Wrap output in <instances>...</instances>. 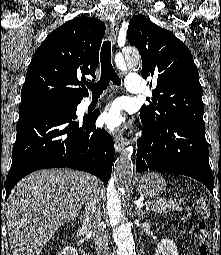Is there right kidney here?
<instances>
[{"label": "right kidney", "mask_w": 221, "mask_h": 255, "mask_svg": "<svg viewBox=\"0 0 221 255\" xmlns=\"http://www.w3.org/2000/svg\"><path fill=\"white\" fill-rule=\"evenodd\" d=\"M58 255H78V252L75 248L71 247V246H67L65 248H63Z\"/></svg>", "instance_id": "right-kidney-1"}]
</instances>
